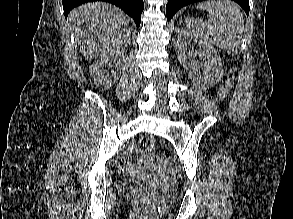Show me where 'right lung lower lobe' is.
<instances>
[{"mask_svg":"<svg viewBox=\"0 0 293 219\" xmlns=\"http://www.w3.org/2000/svg\"><path fill=\"white\" fill-rule=\"evenodd\" d=\"M63 1V8H64V15L67 18L69 12L76 6L86 3V2H93V1H105L112 3L123 11H125L129 16H131L136 26H140L141 22V13L144 8L143 0H62Z\"/></svg>","mask_w":293,"mask_h":219,"instance_id":"98d812e1","label":"right lung lower lobe"}]
</instances>
